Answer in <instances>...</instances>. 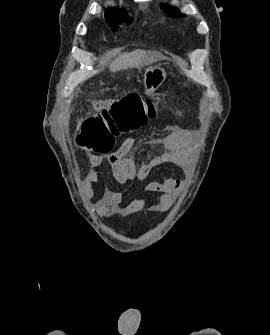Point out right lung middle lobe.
I'll use <instances>...</instances> for the list:
<instances>
[{"label": "right lung middle lobe", "instance_id": "right-lung-middle-lobe-1", "mask_svg": "<svg viewBox=\"0 0 270 335\" xmlns=\"http://www.w3.org/2000/svg\"><path fill=\"white\" fill-rule=\"evenodd\" d=\"M105 18L111 26L115 23L121 24L122 22H127V24H130L132 22V19L127 16V12L125 10L120 12L117 10H108L105 14Z\"/></svg>", "mask_w": 270, "mask_h": 335}]
</instances>
